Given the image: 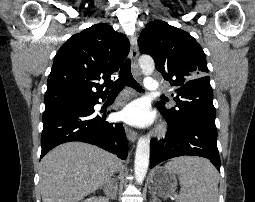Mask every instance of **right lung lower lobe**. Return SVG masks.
Listing matches in <instances>:
<instances>
[{
  "instance_id": "98d812e1",
  "label": "right lung lower lobe",
  "mask_w": 255,
  "mask_h": 202,
  "mask_svg": "<svg viewBox=\"0 0 255 202\" xmlns=\"http://www.w3.org/2000/svg\"><path fill=\"white\" fill-rule=\"evenodd\" d=\"M97 103L98 100H93L45 111L41 158L57 145L82 141L115 152L119 158L125 160L128 147L124 128L120 123L105 121L106 113L94 114V105Z\"/></svg>"
}]
</instances>
